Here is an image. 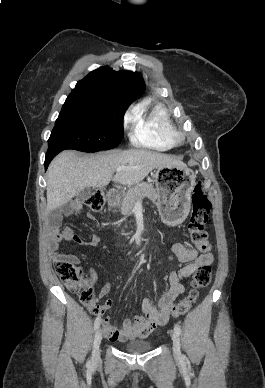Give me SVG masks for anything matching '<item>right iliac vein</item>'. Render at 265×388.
Here are the masks:
<instances>
[{
  "instance_id": "obj_1",
  "label": "right iliac vein",
  "mask_w": 265,
  "mask_h": 388,
  "mask_svg": "<svg viewBox=\"0 0 265 388\" xmlns=\"http://www.w3.org/2000/svg\"><path fill=\"white\" fill-rule=\"evenodd\" d=\"M101 341H102V330L99 329V330H97V332L95 334V338H94V342H93L92 360L94 362H97L100 359V344H101Z\"/></svg>"
}]
</instances>
